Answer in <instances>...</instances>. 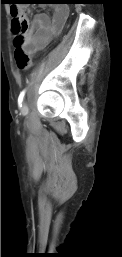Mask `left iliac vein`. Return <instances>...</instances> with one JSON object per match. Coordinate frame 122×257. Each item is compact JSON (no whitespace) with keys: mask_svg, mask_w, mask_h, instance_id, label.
<instances>
[{"mask_svg":"<svg viewBox=\"0 0 122 257\" xmlns=\"http://www.w3.org/2000/svg\"><path fill=\"white\" fill-rule=\"evenodd\" d=\"M21 112H22L23 114H27V113H28V106H27L26 103L23 104L22 109H21Z\"/></svg>","mask_w":122,"mask_h":257,"instance_id":"1","label":"left iliac vein"}]
</instances>
